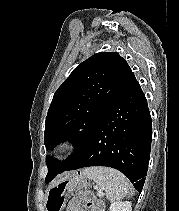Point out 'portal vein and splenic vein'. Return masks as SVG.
<instances>
[{
	"instance_id": "obj_1",
	"label": "portal vein and splenic vein",
	"mask_w": 179,
	"mask_h": 211,
	"mask_svg": "<svg viewBox=\"0 0 179 211\" xmlns=\"http://www.w3.org/2000/svg\"><path fill=\"white\" fill-rule=\"evenodd\" d=\"M99 193L102 195V190H100Z\"/></svg>"
}]
</instances>
